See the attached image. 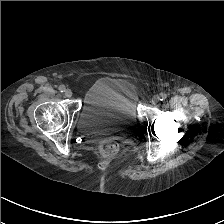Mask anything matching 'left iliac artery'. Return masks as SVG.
Instances as JSON below:
<instances>
[{
  "mask_svg": "<svg viewBox=\"0 0 224 224\" xmlns=\"http://www.w3.org/2000/svg\"><path fill=\"white\" fill-rule=\"evenodd\" d=\"M165 98H166V95L165 94H160L159 99L161 101L165 100Z\"/></svg>",
  "mask_w": 224,
  "mask_h": 224,
  "instance_id": "left-iliac-artery-1",
  "label": "left iliac artery"
}]
</instances>
